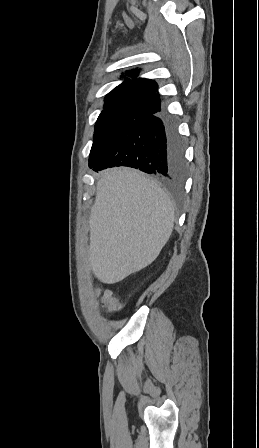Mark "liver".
I'll return each instance as SVG.
<instances>
[{"label": "liver", "mask_w": 259, "mask_h": 448, "mask_svg": "<svg viewBox=\"0 0 259 448\" xmlns=\"http://www.w3.org/2000/svg\"><path fill=\"white\" fill-rule=\"evenodd\" d=\"M90 212L89 266L116 284L159 256L174 226V206L153 178L133 168L101 172Z\"/></svg>", "instance_id": "liver-1"}]
</instances>
